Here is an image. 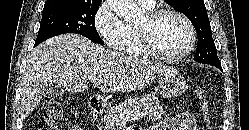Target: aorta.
<instances>
[{
  "label": "aorta",
  "instance_id": "obj_1",
  "mask_svg": "<svg viewBox=\"0 0 249 130\" xmlns=\"http://www.w3.org/2000/svg\"><path fill=\"white\" fill-rule=\"evenodd\" d=\"M111 9L127 22L141 19L142 11L133 0H108Z\"/></svg>",
  "mask_w": 249,
  "mask_h": 130
}]
</instances>
